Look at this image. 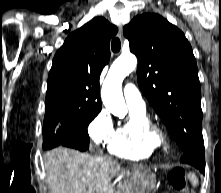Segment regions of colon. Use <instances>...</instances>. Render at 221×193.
<instances>
[{
    "label": "colon",
    "instance_id": "5ec220e1",
    "mask_svg": "<svg viewBox=\"0 0 221 193\" xmlns=\"http://www.w3.org/2000/svg\"><path fill=\"white\" fill-rule=\"evenodd\" d=\"M168 182L171 188L177 192L194 193L187 190V182L184 171L179 168H173L168 174Z\"/></svg>",
    "mask_w": 221,
    "mask_h": 193
}]
</instances>
